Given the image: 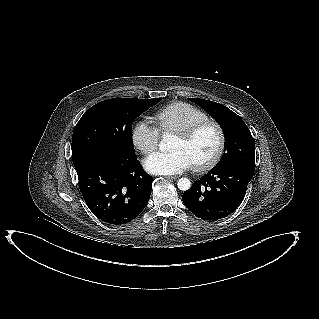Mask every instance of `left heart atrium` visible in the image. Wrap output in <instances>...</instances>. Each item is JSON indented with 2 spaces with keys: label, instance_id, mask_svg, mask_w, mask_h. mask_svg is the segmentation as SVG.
I'll return each mask as SVG.
<instances>
[{
  "label": "left heart atrium",
  "instance_id": "1",
  "mask_svg": "<svg viewBox=\"0 0 319 319\" xmlns=\"http://www.w3.org/2000/svg\"><path fill=\"white\" fill-rule=\"evenodd\" d=\"M192 165L188 155L181 149L154 152L144 160L145 169L152 174L171 175L183 172Z\"/></svg>",
  "mask_w": 319,
  "mask_h": 319
}]
</instances>
